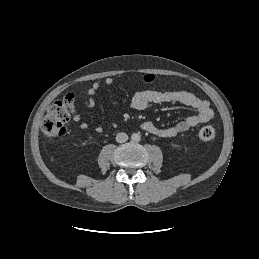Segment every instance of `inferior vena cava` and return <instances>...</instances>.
<instances>
[{"instance_id": "inferior-vena-cava-1", "label": "inferior vena cava", "mask_w": 259, "mask_h": 259, "mask_svg": "<svg viewBox=\"0 0 259 259\" xmlns=\"http://www.w3.org/2000/svg\"><path fill=\"white\" fill-rule=\"evenodd\" d=\"M127 140H128V135H127L126 133L121 132V133H118V134L116 135V141H117L118 143H124V142H126Z\"/></svg>"}]
</instances>
